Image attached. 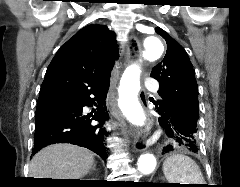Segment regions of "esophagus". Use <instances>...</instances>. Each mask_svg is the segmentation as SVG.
<instances>
[{"instance_id": "esophagus-1", "label": "esophagus", "mask_w": 240, "mask_h": 187, "mask_svg": "<svg viewBox=\"0 0 240 187\" xmlns=\"http://www.w3.org/2000/svg\"><path fill=\"white\" fill-rule=\"evenodd\" d=\"M141 45L134 35H130L126 46V64L138 63L140 60ZM133 148L136 151H144L148 148V142L145 139H140L136 136L133 141Z\"/></svg>"}]
</instances>
